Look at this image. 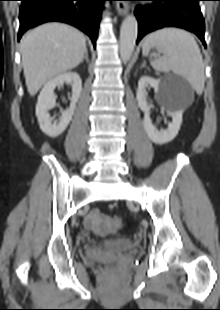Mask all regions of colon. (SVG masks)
<instances>
[{
  "mask_svg": "<svg viewBox=\"0 0 220 310\" xmlns=\"http://www.w3.org/2000/svg\"><path fill=\"white\" fill-rule=\"evenodd\" d=\"M122 226V219L120 217H113L111 220H109V227L112 230H117L121 228Z\"/></svg>",
  "mask_w": 220,
  "mask_h": 310,
  "instance_id": "colon-1",
  "label": "colon"
}]
</instances>
